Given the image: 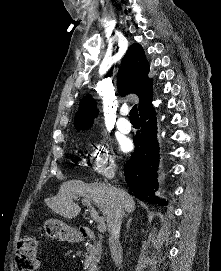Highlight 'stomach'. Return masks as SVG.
I'll list each match as a JSON object with an SVG mask.
<instances>
[{"label": "stomach", "instance_id": "stomach-1", "mask_svg": "<svg viewBox=\"0 0 221 271\" xmlns=\"http://www.w3.org/2000/svg\"><path fill=\"white\" fill-rule=\"evenodd\" d=\"M44 231L48 237L51 239H60V241H66V239H76L79 237V231L74 230L73 227L64 223V221H60V219H47L44 225Z\"/></svg>", "mask_w": 221, "mask_h": 271}]
</instances>
